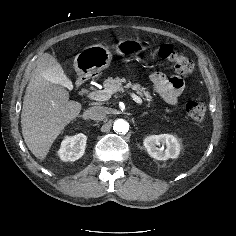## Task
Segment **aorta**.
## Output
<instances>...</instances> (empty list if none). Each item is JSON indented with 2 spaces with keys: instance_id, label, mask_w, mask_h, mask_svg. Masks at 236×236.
Returning a JSON list of instances; mask_svg holds the SVG:
<instances>
[{
  "instance_id": "1",
  "label": "aorta",
  "mask_w": 236,
  "mask_h": 236,
  "mask_svg": "<svg viewBox=\"0 0 236 236\" xmlns=\"http://www.w3.org/2000/svg\"><path fill=\"white\" fill-rule=\"evenodd\" d=\"M113 129L119 133H126L129 130V123L123 119H118L114 122Z\"/></svg>"
}]
</instances>
